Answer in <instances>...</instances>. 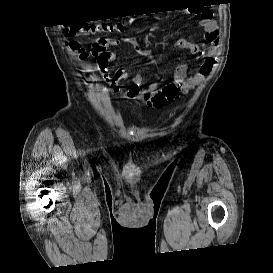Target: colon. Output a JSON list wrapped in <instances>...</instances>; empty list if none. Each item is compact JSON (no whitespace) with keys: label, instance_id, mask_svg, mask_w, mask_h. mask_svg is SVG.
Returning <instances> with one entry per match:
<instances>
[{"label":"colon","instance_id":"colon-1","mask_svg":"<svg viewBox=\"0 0 273 273\" xmlns=\"http://www.w3.org/2000/svg\"><path fill=\"white\" fill-rule=\"evenodd\" d=\"M123 22H113V23H102V24H89V25H75L72 28L73 33H78L81 31L87 33H96L100 31H122L124 30ZM66 46L70 49L71 55L75 61H81L86 57L84 50L74 42H66ZM88 79V78H87Z\"/></svg>","mask_w":273,"mask_h":273}]
</instances>
